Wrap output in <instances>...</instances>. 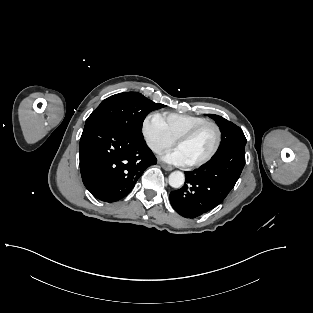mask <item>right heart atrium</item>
<instances>
[{
	"instance_id": "d8ad5b80",
	"label": "right heart atrium",
	"mask_w": 313,
	"mask_h": 313,
	"mask_svg": "<svg viewBox=\"0 0 313 313\" xmlns=\"http://www.w3.org/2000/svg\"><path fill=\"white\" fill-rule=\"evenodd\" d=\"M142 134L147 146L154 152L160 153L171 147L174 140L168 133L164 122L158 113L149 114L142 123Z\"/></svg>"
}]
</instances>
